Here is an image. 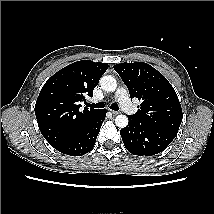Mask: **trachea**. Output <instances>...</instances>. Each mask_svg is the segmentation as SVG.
<instances>
[{
    "mask_svg": "<svg viewBox=\"0 0 214 214\" xmlns=\"http://www.w3.org/2000/svg\"><path fill=\"white\" fill-rule=\"evenodd\" d=\"M88 106L91 107V108H104L105 105H104L103 102H99V103H96V104H88ZM110 108L112 110H115V111L119 110V107H118V105L116 103L111 104Z\"/></svg>",
    "mask_w": 214,
    "mask_h": 214,
    "instance_id": "obj_1",
    "label": "trachea"
}]
</instances>
